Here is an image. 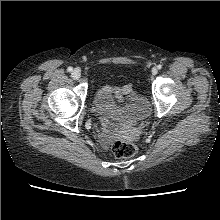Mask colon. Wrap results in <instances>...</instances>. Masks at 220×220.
Listing matches in <instances>:
<instances>
[{"mask_svg": "<svg viewBox=\"0 0 220 220\" xmlns=\"http://www.w3.org/2000/svg\"><path fill=\"white\" fill-rule=\"evenodd\" d=\"M112 150L117 158H130L135 155L137 148L131 142L117 141L113 145Z\"/></svg>", "mask_w": 220, "mask_h": 220, "instance_id": "colon-1", "label": "colon"}]
</instances>
